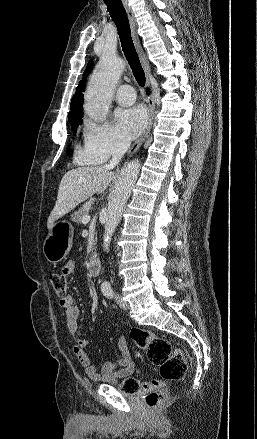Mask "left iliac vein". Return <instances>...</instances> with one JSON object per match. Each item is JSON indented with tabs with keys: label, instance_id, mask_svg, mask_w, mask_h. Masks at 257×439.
<instances>
[{
	"label": "left iliac vein",
	"instance_id": "obj_1",
	"mask_svg": "<svg viewBox=\"0 0 257 439\" xmlns=\"http://www.w3.org/2000/svg\"><path fill=\"white\" fill-rule=\"evenodd\" d=\"M117 304L119 305V307L123 308V309H128L129 308V303L127 301H125L123 299V297L119 294H117L115 296Z\"/></svg>",
	"mask_w": 257,
	"mask_h": 439
}]
</instances>
